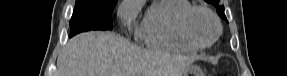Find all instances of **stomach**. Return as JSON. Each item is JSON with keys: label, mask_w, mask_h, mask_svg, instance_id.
Here are the masks:
<instances>
[{"label": "stomach", "mask_w": 287, "mask_h": 76, "mask_svg": "<svg viewBox=\"0 0 287 76\" xmlns=\"http://www.w3.org/2000/svg\"><path fill=\"white\" fill-rule=\"evenodd\" d=\"M184 76H204L201 69L195 65H191L185 72Z\"/></svg>", "instance_id": "0dacf381"}]
</instances>
